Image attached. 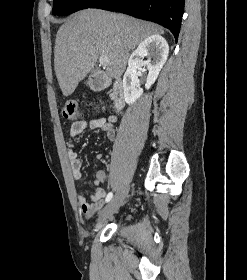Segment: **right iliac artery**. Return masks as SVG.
I'll return each instance as SVG.
<instances>
[{"instance_id":"82829eb1","label":"right iliac artery","mask_w":247,"mask_h":280,"mask_svg":"<svg viewBox=\"0 0 247 280\" xmlns=\"http://www.w3.org/2000/svg\"><path fill=\"white\" fill-rule=\"evenodd\" d=\"M112 197H113V193L109 192L106 196V199H105L106 203L109 202L112 199Z\"/></svg>"}]
</instances>
